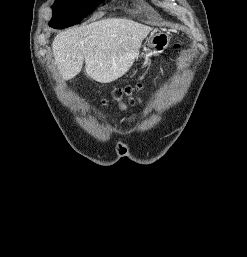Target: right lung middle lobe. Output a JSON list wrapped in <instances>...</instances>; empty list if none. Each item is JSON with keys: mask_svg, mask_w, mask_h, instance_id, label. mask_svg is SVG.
Returning <instances> with one entry per match:
<instances>
[{"mask_svg": "<svg viewBox=\"0 0 247 257\" xmlns=\"http://www.w3.org/2000/svg\"><path fill=\"white\" fill-rule=\"evenodd\" d=\"M103 0H55L53 17L49 25L53 28H66L80 23Z\"/></svg>", "mask_w": 247, "mask_h": 257, "instance_id": "1", "label": "right lung middle lobe"}]
</instances>
